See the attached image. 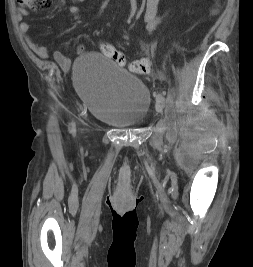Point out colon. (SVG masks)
Here are the masks:
<instances>
[{"label":"colon","mask_w":253,"mask_h":267,"mask_svg":"<svg viewBox=\"0 0 253 267\" xmlns=\"http://www.w3.org/2000/svg\"><path fill=\"white\" fill-rule=\"evenodd\" d=\"M17 3L25 8L32 10H40L47 7L51 0H16ZM100 49L102 53L112 59L116 64L120 66H124L126 63V59L124 55L117 50L114 46L108 43H101ZM151 62L148 58H141L135 61H132L129 64L130 71L137 74H145L150 71Z\"/></svg>","instance_id":"5ec220e1"}]
</instances>
